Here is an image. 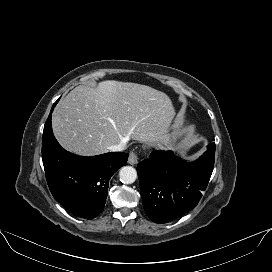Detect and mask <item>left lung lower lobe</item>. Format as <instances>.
I'll return each mask as SVG.
<instances>
[{
    "mask_svg": "<svg viewBox=\"0 0 272 272\" xmlns=\"http://www.w3.org/2000/svg\"><path fill=\"white\" fill-rule=\"evenodd\" d=\"M215 159V143L196 161L180 160L170 151H153L138 163L143 206L155 223H167L192 210L210 180Z\"/></svg>",
    "mask_w": 272,
    "mask_h": 272,
    "instance_id": "left-lung-lower-lobe-1",
    "label": "left lung lower lobe"
}]
</instances>
